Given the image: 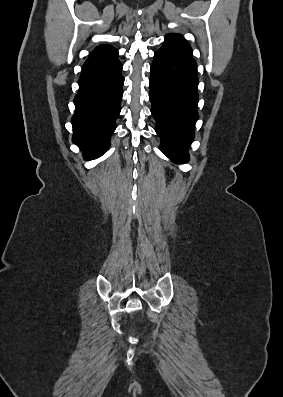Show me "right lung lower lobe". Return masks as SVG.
Instances as JSON below:
<instances>
[{
  "label": "right lung lower lobe",
  "mask_w": 283,
  "mask_h": 397,
  "mask_svg": "<svg viewBox=\"0 0 283 397\" xmlns=\"http://www.w3.org/2000/svg\"><path fill=\"white\" fill-rule=\"evenodd\" d=\"M123 65L116 58L105 63L83 66L80 86L74 98L73 143L83 151L86 160L102 156L116 129L123 96Z\"/></svg>",
  "instance_id": "1"
}]
</instances>
